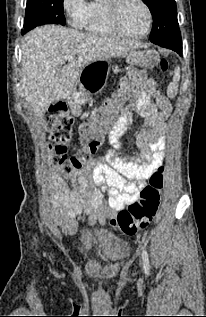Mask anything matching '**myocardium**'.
<instances>
[{
	"label": "myocardium",
	"mask_w": 206,
	"mask_h": 317,
	"mask_svg": "<svg viewBox=\"0 0 206 317\" xmlns=\"http://www.w3.org/2000/svg\"><path fill=\"white\" fill-rule=\"evenodd\" d=\"M126 1L127 0H106L107 16H108V21L112 30L115 32L116 35L125 39H129V40H140L147 37L151 31L153 15L149 5L146 3L145 0H136L139 4H141V6L144 8L146 12L147 25L144 32L139 35H129L125 33L120 27L119 13H120L122 5Z\"/></svg>",
	"instance_id": "1"
}]
</instances>
